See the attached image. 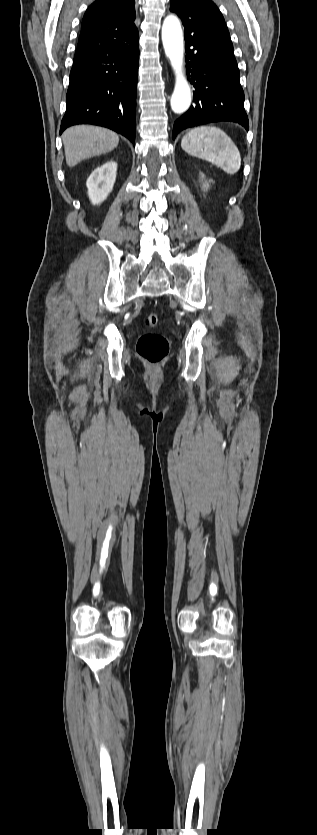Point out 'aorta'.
<instances>
[{"label":"aorta","mask_w":317,"mask_h":835,"mask_svg":"<svg viewBox=\"0 0 317 835\" xmlns=\"http://www.w3.org/2000/svg\"><path fill=\"white\" fill-rule=\"evenodd\" d=\"M162 42L165 55L169 58L175 74V87L171 97V109L176 114H182L191 105V90L183 68V32L179 19L174 15H169L164 19L162 25Z\"/></svg>","instance_id":"762f6f07"}]
</instances>
